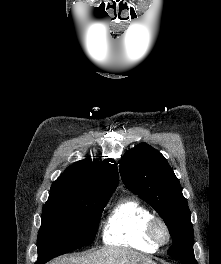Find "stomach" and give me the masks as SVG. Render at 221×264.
Returning <instances> with one entry per match:
<instances>
[{
    "mask_svg": "<svg viewBox=\"0 0 221 264\" xmlns=\"http://www.w3.org/2000/svg\"><path fill=\"white\" fill-rule=\"evenodd\" d=\"M144 264H157L156 262H147V263H144Z\"/></svg>",
    "mask_w": 221,
    "mask_h": 264,
    "instance_id": "obj_1",
    "label": "stomach"
}]
</instances>
